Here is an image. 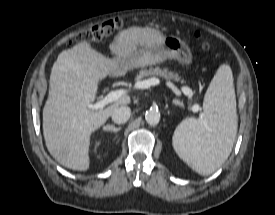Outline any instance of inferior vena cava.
Wrapping results in <instances>:
<instances>
[{"label":"inferior vena cava","instance_id":"602c4592","mask_svg":"<svg viewBox=\"0 0 275 215\" xmlns=\"http://www.w3.org/2000/svg\"><path fill=\"white\" fill-rule=\"evenodd\" d=\"M131 115V109L127 106H119L115 108L111 114L112 120L117 124H124Z\"/></svg>","mask_w":275,"mask_h":215}]
</instances>
